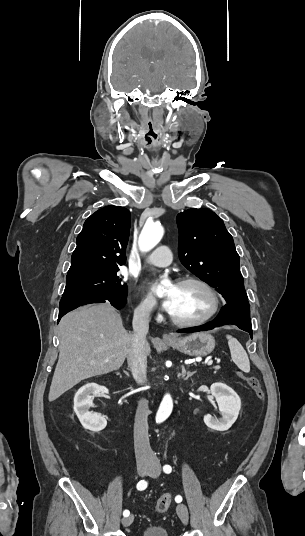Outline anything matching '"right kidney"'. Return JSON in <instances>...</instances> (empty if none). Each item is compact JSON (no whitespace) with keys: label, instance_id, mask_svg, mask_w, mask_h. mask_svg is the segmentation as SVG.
Returning a JSON list of instances; mask_svg holds the SVG:
<instances>
[{"label":"right kidney","instance_id":"obj_1","mask_svg":"<svg viewBox=\"0 0 305 536\" xmlns=\"http://www.w3.org/2000/svg\"><path fill=\"white\" fill-rule=\"evenodd\" d=\"M99 392H108V390L104 386H98V384H85L76 392L74 398V412H76L83 428L92 430V432H100L106 426L105 418L88 412V408L92 406V398H94L90 394H99Z\"/></svg>","mask_w":305,"mask_h":536}]
</instances>
